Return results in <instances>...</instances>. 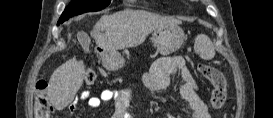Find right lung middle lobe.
<instances>
[{"label":"right lung middle lobe","instance_id":"right-lung-middle-lobe-1","mask_svg":"<svg viewBox=\"0 0 273 118\" xmlns=\"http://www.w3.org/2000/svg\"><path fill=\"white\" fill-rule=\"evenodd\" d=\"M111 0H72L61 15V19L67 20L84 12L100 11L110 4Z\"/></svg>","mask_w":273,"mask_h":118}]
</instances>
